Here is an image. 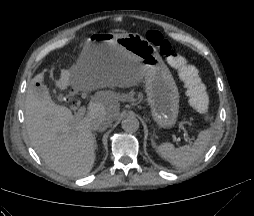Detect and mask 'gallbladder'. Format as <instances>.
Segmentation results:
<instances>
[{
    "mask_svg": "<svg viewBox=\"0 0 254 216\" xmlns=\"http://www.w3.org/2000/svg\"><path fill=\"white\" fill-rule=\"evenodd\" d=\"M35 90L40 95H47V96H49L48 88L45 85H43V84H41L39 87L35 88Z\"/></svg>",
    "mask_w": 254,
    "mask_h": 216,
    "instance_id": "bac80fb5",
    "label": "gallbladder"
}]
</instances>
